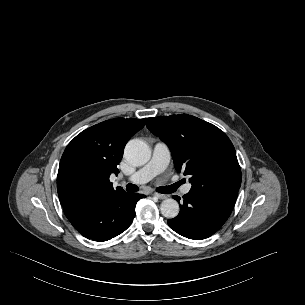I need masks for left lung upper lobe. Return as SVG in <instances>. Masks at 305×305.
<instances>
[{
  "instance_id": "5c2ea615",
  "label": "left lung upper lobe",
  "mask_w": 305,
  "mask_h": 305,
  "mask_svg": "<svg viewBox=\"0 0 305 305\" xmlns=\"http://www.w3.org/2000/svg\"><path fill=\"white\" fill-rule=\"evenodd\" d=\"M146 126L170 148L176 170L190 175L191 189L240 188L234 146L216 126L187 114L147 118Z\"/></svg>"
}]
</instances>
